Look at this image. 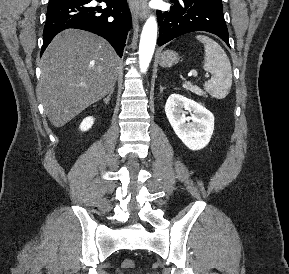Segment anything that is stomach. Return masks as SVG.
<instances>
[{"label": "stomach", "instance_id": "obj_1", "mask_svg": "<svg viewBox=\"0 0 289 274\" xmlns=\"http://www.w3.org/2000/svg\"><path fill=\"white\" fill-rule=\"evenodd\" d=\"M179 55L175 51H164L159 57V64L162 67H171L179 62Z\"/></svg>", "mask_w": 289, "mask_h": 274}]
</instances>
